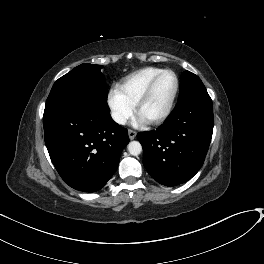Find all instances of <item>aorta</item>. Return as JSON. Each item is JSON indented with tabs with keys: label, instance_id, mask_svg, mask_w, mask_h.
Returning <instances> with one entry per match:
<instances>
[{
	"label": "aorta",
	"instance_id": "762f6f07",
	"mask_svg": "<svg viewBox=\"0 0 264 264\" xmlns=\"http://www.w3.org/2000/svg\"><path fill=\"white\" fill-rule=\"evenodd\" d=\"M127 148L129 153L133 156H137L142 152V146L138 141H131Z\"/></svg>",
	"mask_w": 264,
	"mask_h": 264
}]
</instances>
